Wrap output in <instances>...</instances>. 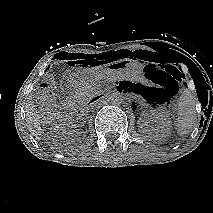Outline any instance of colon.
I'll return each mask as SVG.
<instances>
[{
  "mask_svg": "<svg viewBox=\"0 0 213 213\" xmlns=\"http://www.w3.org/2000/svg\"><path fill=\"white\" fill-rule=\"evenodd\" d=\"M43 86L47 87L46 84H44ZM42 101L45 103L46 106L50 107L53 102L52 93L50 91H46L42 96Z\"/></svg>",
  "mask_w": 213,
  "mask_h": 213,
  "instance_id": "colon-1",
  "label": "colon"
}]
</instances>
